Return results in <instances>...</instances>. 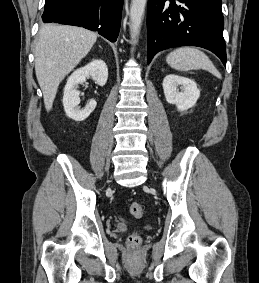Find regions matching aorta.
<instances>
[{"instance_id": "obj_1", "label": "aorta", "mask_w": 259, "mask_h": 283, "mask_svg": "<svg viewBox=\"0 0 259 283\" xmlns=\"http://www.w3.org/2000/svg\"><path fill=\"white\" fill-rule=\"evenodd\" d=\"M147 0H132L130 6V33L131 38L136 43V38L139 35L142 19L145 12Z\"/></svg>"}]
</instances>
